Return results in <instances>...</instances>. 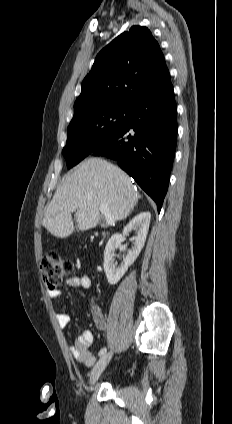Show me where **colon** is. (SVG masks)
I'll return each instance as SVG.
<instances>
[{
    "instance_id": "colon-1",
    "label": "colon",
    "mask_w": 232,
    "mask_h": 424,
    "mask_svg": "<svg viewBox=\"0 0 232 424\" xmlns=\"http://www.w3.org/2000/svg\"><path fill=\"white\" fill-rule=\"evenodd\" d=\"M41 270L44 283L53 289L73 273V263L56 252H47L42 257Z\"/></svg>"
}]
</instances>
